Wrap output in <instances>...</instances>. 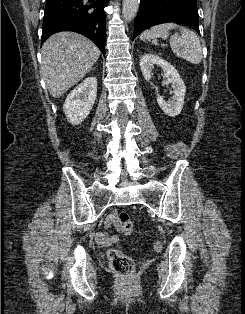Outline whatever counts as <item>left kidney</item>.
Returning a JSON list of instances; mask_svg holds the SVG:
<instances>
[{
  "instance_id": "5707ae66",
  "label": "left kidney",
  "mask_w": 245,
  "mask_h": 314,
  "mask_svg": "<svg viewBox=\"0 0 245 314\" xmlns=\"http://www.w3.org/2000/svg\"><path fill=\"white\" fill-rule=\"evenodd\" d=\"M155 65L163 69L166 78L164 83L166 85L171 83L174 93L172 99L167 102L162 97L157 96L158 105L166 115L176 117L183 108L186 93L185 84L174 66L152 53L144 54L140 59V68L146 81L149 82L151 80V72Z\"/></svg>"
}]
</instances>
